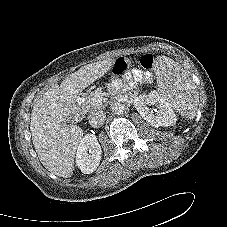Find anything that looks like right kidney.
Instances as JSON below:
<instances>
[{
	"mask_svg": "<svg viewBox=\"0 0 227 227\" xmlns=\"http://www.w3.org/2000/svg\"><path fill=\"white\" fill-rule=\"evenodd\" d=\"M101 147L94 134L85 135L77 147L76 164L84 174L94 172L101 160Z\"/></svg>",
	"mask_w": 227,
	"mask_h": 227,
	"instance_id": "1",
	"label": "right kidney"
}]
</instances>
